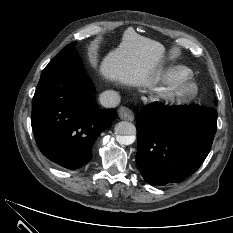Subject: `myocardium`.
<instances>
[{
	"label": "myocardium",
	"instance_id": "f54148a6",
	"mask_svg": "<svg viewBox=\"0 0 233 233\" xmlns=\"http://www.w3.org/2000/svg\"><path fill=\"white\" fill-rule=\"evenodd\" d=\"M197 94V84L187 78L160 90L157 98L167 105L178 106L192 101Z\"/></svg>",
	"mask_w": 233,
	"mask_h": 233
}]
</instances>
